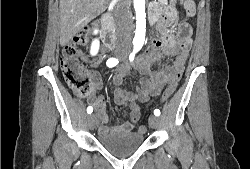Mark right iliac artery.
<instances>
[{
  "instance_id": "obj_1",
  "label": "right iliac artery",
  "mask_w": 250,
  "mask_h": 169,
  "mask_svg": "<svg viewBox=\"0 0 250 169\" xmlns=\"http://www.w3.org/2000/svg\"><path fill=\"white\" fill-rule=\"evenodd\" d=\"M118 62H119L118 59H116V58H110V59L107 60L106 65H107L108 67L112 68V67H114L115 65H117ZM92 112H93V108H92L91 106H89V107L87 108V113H88V114H91Z\"/></svg>"
}]
</instances>
